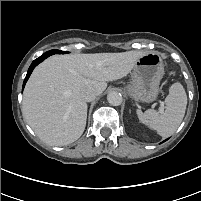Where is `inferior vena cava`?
Here are the masks:
<instances>
[{"instance_id":"1","label":"inferior vena cava","mask_w":201,"mask_h":201,"mask_svg":"<svg viewBox=\"0 0 201 201\" xmlns=\"http://www.w3.org/2000/svg\"><path fill=\"white\" fill-rule=\"evenodd\" d=\"M81 96L86 102H90L96 98L97 93L94 89L87 88L81 92Z\"/></svg>"}]
</instances>
